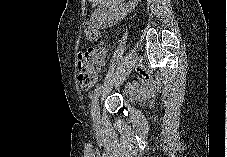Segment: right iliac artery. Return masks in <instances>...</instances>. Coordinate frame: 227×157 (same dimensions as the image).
<instances>
[{
    "mask_svg": "<svg viewBox=\"0 0 227 157\" xmlns=\"http://www.w3.org/2000/svg\"><path fill=\"white\" fill-rule=\"evenodd\" d=\"M123 64L124 65H127L128 64V61L127 60H124L123 61ZM124 65H119L118 66V69L119 70H124L125 69V66ZM104 88V84L98 86L97 89H95L94 93H93V96H92V102H91V115L92 117L94 118V113H95V104L97 103V100H98V97L102 91V89Z\"/></svg>",
    "mask_w": 227,
    "mask_h": 157,
    "instance_id": "1",
    "label": "right iliac artery"
}]
</instances>
